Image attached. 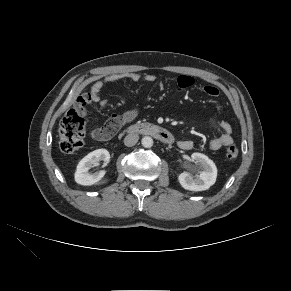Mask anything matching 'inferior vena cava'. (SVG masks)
Here are the masks:
<instances>
[{
  "mask_svg": "<svg viewBox=\"0 0 291 291\" xmlns=\"http://www.w3.org/2000/svg\"><path fill=\"white\" fill-rule=\"evenodd\" d=\"M139 140L138 134H129L124 138V144L128 147L134 146Z\"/></svg>",
  "mask_w": 291,
  "mask_h": 291,
  "instance_id": "602c4592",
  "label": "inferior vena cava"
}]
</instances>
